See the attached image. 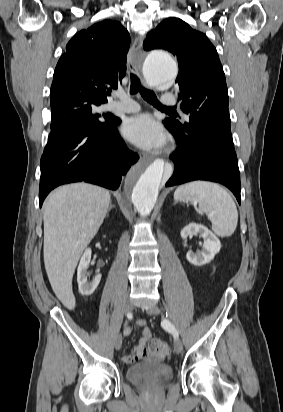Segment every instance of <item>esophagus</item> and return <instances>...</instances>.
Wrapping results in <instances>:
<instances>
[{"label": "esophagus", "mask_w": 283, "mask_h": 412, "mask_svg": "<svg viewBox=\"0 0 283 412\" xmlns=\"http://www.w3.org/2000/svg\"><path fill=\"white\" fill-rule=\"evenodd\" d=\"M142 44H143V38L141 36H137L128 54V69L132 73L139 75V76L142 70V59L139 58L138 53L140 52L142 48Z\"/></svg>", "instance_id": "esophagus-1"}]
</instances>
